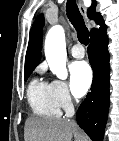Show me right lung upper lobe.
<instances>
[{
  "instance_id": "right-lung-upper-lobe-1",
  "label": "right lung upper lobe",
  "mask_w": 119,
  "mask_h": 141,
  "mask_svg": "<svg viewBox=\"0 0 119 141\" xmlns=\"http://www.w3.org/2000/svg\"><path fill=\"white\" fill-rule=\"evenodd\" d=\"M96 1L92 0V5L87 10V15L90 19H94L98 24L102 21L100 13H96ZM44 26L43 15H40L35 20L30 31L29 44L25 58V72L33 71L41 58V42L42 28Z\"/></svg>"
}]
</instances>
